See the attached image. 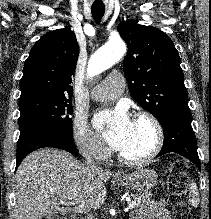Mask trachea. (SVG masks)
I'll list each match as a JSON object with an SVG mask.
<instances>
[{
    "mask_svg": "<svg viewBox=\"0 0 211 219\" xmlns=\"http://www.w3.org/2000/svg\"><path fill=\"white\" fill-rule=\"evenodd\" d=\"M91 13H92V16L95 22L100 23L105 13V6L104 5H93L91 7Z\"/></svg>",
    "mask_w": 211,
    "mask_h": 219,
    "instance_id": "obj_1",
    "label": "trachea"
}]
</instances>
